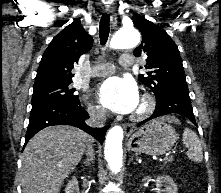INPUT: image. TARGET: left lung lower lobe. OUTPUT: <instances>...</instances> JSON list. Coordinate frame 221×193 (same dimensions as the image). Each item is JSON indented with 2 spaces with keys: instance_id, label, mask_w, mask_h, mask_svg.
I'll return each instance as SVG.
<instances>
[{
  "instance_id": "0a47b994",
  "label": "left lung lower lobe",
  "mask_w": 221,
  "mask_h": 193,
  "mask_svg": "<svg viewBox=\"0 0 221 193\" xmlns=\"http://www.w3.org/2000/svg\"><path fill=\"white\" fill-rule=\"evenodd\" d=\"M171 113L185 116L197 126L190 103L188 87L175 88L169 91L161 99L156 100V108L154 113L148 119L140 122L137 126H141L142 124L156 117Z\"/></svg>"
}]
</instances>
